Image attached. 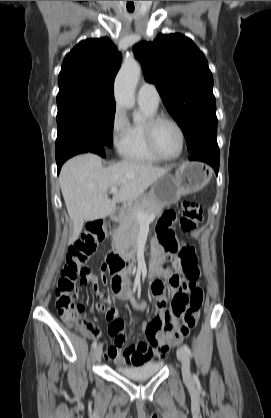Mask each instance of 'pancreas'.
<instances>
[{
    "mask_svg": "<svg viewBox=\"0 0 271 418\" xmlns=\"http://www.w3.org/2000/svg\"><path fill=\"white\" fill-rule=\"evenodd\" d=\"M163 206L158 204L153 197L143 196L138 202L125 209L121 222L113 235V241L119 247L128 250L136 246L137 236L141 223L135 213L141 211L148 216L156 217L162 212Z\"/></svg>",
    "mask_w": 271,
    "mask_h": 418,
    "instance_id": "obj_1",
    "label": "pancreas"
}]
</instances>
